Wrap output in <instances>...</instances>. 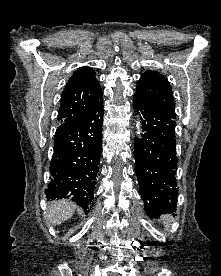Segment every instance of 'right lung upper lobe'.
<instances>
[{
  "label": "right lung upper lobe",
  "mask_w": 221,
  "mask_h": 276,
  "mask_svg": "<svg viewBox=\"0 0 221 276\" xmlns=\"http://www.w3.org/2000/svg\"><path fill=\"white\" fill-rule=\"evenodd\" d=\"M102 91L91 67L78 68L62 93L58 120L60 124L87 117L101 103Z\"/></svg>",
  "instance_id": "cb5924a9"
}]
</instances>
